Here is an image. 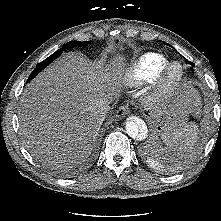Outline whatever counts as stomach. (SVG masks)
<instances>
[{
	"label": "stomach",
	"instance_id": "stomach-1",
	"mask_svg": "<svg viewBox=\"0 0 221 221\" xmlns=\"http://www.w3.org/2000/svg\"><path fill=\"white\" fill-rule=\"evenodd\" d=\"M189 113V105L186 104L184 93L162 106V109L154 116L155 129L161 135L185 124Z\"/></svg>",
	"mask_w": 221,
	"mask_h": 221
}]
</instances>
